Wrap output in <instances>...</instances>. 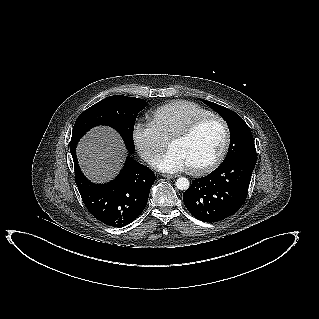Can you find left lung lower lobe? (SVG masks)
Listing matches in <instances>:
<instances>
[{"label":"left lung lower lobe","instance_id":"left-lung-lower-lobe-1","mask_svg":"<svg viewBox=\"0 0 319 319\" xmlns=\"http://www.w3.org/2000/svg\"><path fill=\"white\" fill-rule=\"evenodd\" d=\"M255 165L254 159L236 158L194 180L183 194L186 208L195 218L209 223L235 214L246 200Z\"/></svg>","mask_w":319,"mask_h":319}]
</instances>
